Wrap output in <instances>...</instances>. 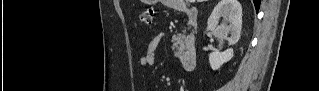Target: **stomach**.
I'll return each mask as SVG.
<instances>
[{"label": "stomach", "instance_id": "0dacf381", "mask_svg": "<svg viewBox=\"0 0 319 91\" xmlns=\"http://www.w3.org/2000/svg\"><path fill=\"white\" fill-rule=\"evenodd\" d=\"M148 4H154L157 2V0H146L145 1ZM164 3H171L172 5H176L178 0H163Z\"/></svg>", "mask_w": 319, "mask_h": 91}]
</instances>
